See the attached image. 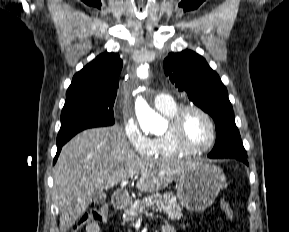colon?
<instances>
[{"label": "colon", "instance_id": "5ec220e1", "mask_svg": "<svg viewBox=\"0 0 289 232\" xmlns=\"http://www.w3.org/2000/svg\"><path fill=\"white\" fill-rule=\"evenodd\" d=\"M221 208L224 211L226 217L232 221L234 219V213L232 207L226 200L221 201ZM106 211L104 209H93L84 213L78 221L70 228L69 232H79L85 225L96 223L101 224L105 222Z\"/></svg>", "mask_w": 289, "mask_h": 232}]
</instances>
